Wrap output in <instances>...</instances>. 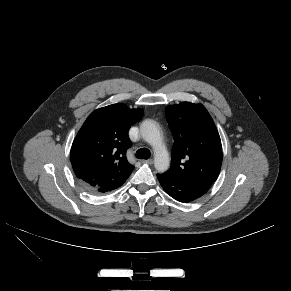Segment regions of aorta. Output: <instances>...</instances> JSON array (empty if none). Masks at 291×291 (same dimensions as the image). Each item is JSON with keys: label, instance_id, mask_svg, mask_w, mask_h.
Instances as JSON below:
<instances>
[{"label": "aorta", "instance_id": "762f6f07", "mask_svg": "<svg viewBox=\"0 0 291 291\" xmlns=\"http://www.w3.org/2000/svg\"><path fill=\"white\" fill-rule=\"evenodd\" d=\"M142 138L149 143L154 150V166L158 172H165L170 166V158L159 128L155 121L144 120L140 125Z\"/></svg>", "mask_w": 291, "mask_h": 291}]
</instances>
